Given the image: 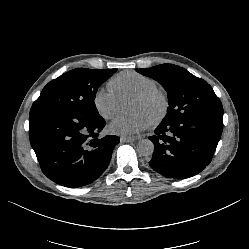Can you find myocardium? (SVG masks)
<instances>
[{"label": "myocardium", "mask_w": 249, "mask_h": 249, "mask_svg": "<svg viewBox=\"0 0 249 249\" xmlns=\"http://www.w3.org/2000/svg\"><path fill=\"white\" fill-rule=\"evenodd\" d=\"M134 99L143 103H150L153 101H157L159 103V111L157 115L148 122L150 127L156 128L166 119L170 110V100L166 92L163 90L159 88H152L141 94L135 95Z\"/></svg>", "instance_id": "obj_1"}]
</instances>
